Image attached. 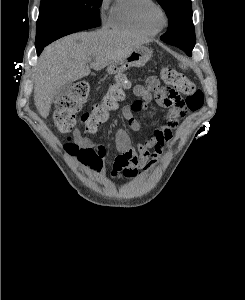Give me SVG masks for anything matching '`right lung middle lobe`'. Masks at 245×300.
I'll use <instances>...</instances> for the list:
<instances>
[{"label":"right lung middle lobe","instance_id":"1","mask_svg":"<svg viewBox=\"0 0 245 300\" xmlns=\"http://www.w3.org/2000/svg\"><path fill=\"white\" fill-rule=\"evenodd\" d=\"M102 0H41L36 23V47L100 24Z\"/></svg>","mask_w":245,"mask_h":300}]
</instances>
